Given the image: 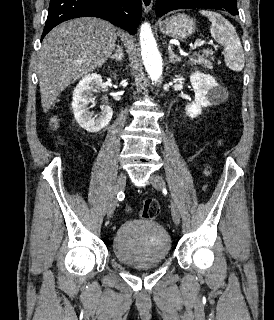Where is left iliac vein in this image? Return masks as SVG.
I'll use <instances>...</instances> for the list:
<instances>
[{
	"mask_svg": "<svg viewBox=\"0 0 274 320\" xmlns=\"http://www.w3.org/2000/svg\"><path fill=\"white\" fill-rule=\"evenodd\" d=\"M150 183L157 190H162L166 186L164 179L156 174L150 176ZM171 214L174 223L178 225L180 223V212L176 203L173 201L171 202Z\"/></svg>",
	"mask_w": 274,
	"mask_h": 320,
	"instance_id": "1",
	"label": "left iliac vein"
}]
</instances>
